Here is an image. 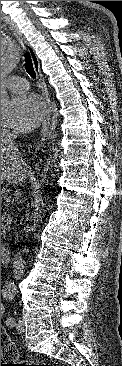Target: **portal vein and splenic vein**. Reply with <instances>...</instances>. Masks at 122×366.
Instances as JSON below:
<instances>
[{"mask_svg": "<svg viewBox=\"0 0 122 366\" xmlns=\"http://www.w3.org/2000/svg\"><path fill=\"white\" fill-rule=\"evenodd\" d=\"M6 201H7V202H9V199H8V198H6Z\"/></svg>", "mask_w": 122, "mask_h": 366, "instance_id": "18ae733b", "label": "portal vein and splenic vein"}]
</instances>
